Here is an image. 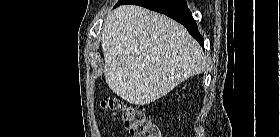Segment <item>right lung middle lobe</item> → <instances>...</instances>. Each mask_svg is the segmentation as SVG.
<instances>
[{
	"mask_svg": "<svg viewBox=\"0 0 280 137\" xmlns=\"http://www.w3.org/2000/svg\"><path fill=\"white\" fill-rule=\"evenodd\" d=\"M123 1H124V0H120V1L115 5V7H116V6H119Z\"/></svg>",
	"mask_w": 280,
	"mask_h": 137,
	"instance_id": "obj_1",
	"label": "right lung middle lobe"
}]
</instances>
